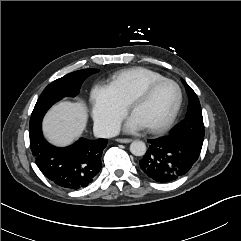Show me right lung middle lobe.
<instances>
[{"label": "right lung middle lobe", "instance_id": "right-lung-middle-lobe-1", "mask_svg": "<svg viewBox=\"0 0 241 241\" xmlns=\"http://www.w3.org/2000/svg\"><path fill=\"white\" fill-rule=\"evenodd\" d=\"M98 69H82L69 73L50 83L40 95L31 114L29 130L42 122L47 110L64 97H75L79 94L84 80L97 73Z\"/></svg>", "mask_w": 241, "mask_h": 241}]
</instances>
